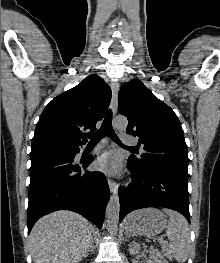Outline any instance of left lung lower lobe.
I'll list each match as a JSON object with an SVG mask.
<instances>
[{"label": "left lung lower lobe", "instance_id": "0a47b994", "mask_svg": "<svg viewBox=\"0 0 220 263\" xmlns=\"http://www.w3.org/2000/svg\"><path fill=\"white\" fill-rule=\"evenodd\" d=\"M133 181L119 187V221L130 212L146 207H165L181 213L190 223L188 177L165 167H138L128 159Z\"/></svg>", "mask_w": 220, "mask_h": 263}]
</instances>
